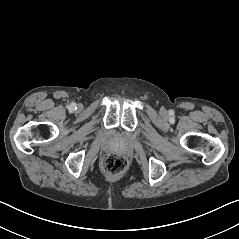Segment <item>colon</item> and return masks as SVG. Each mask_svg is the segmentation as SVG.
Wrapping results in <instances>:
<instances>
[{"mask_svg":"<svg viewBox=\"0 0 239 239\" xmlns=\"http://www.w3.org/2000/svg\"><path fill=\"white\" fill-rule=\"evenodd\" d=\"M102 167L108 174H119L126 169L127 160L118 154H108L102 160Z\"/></svg>","mask_w":239,"mask_h":239,"instance_id":"obj_1","label":"colon"}]
</instances>
